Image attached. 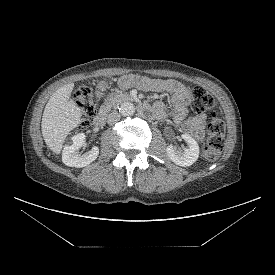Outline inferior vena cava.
Listing matches in <instances>:
<instances>
[{"mask_svg": "<svg viewBox=\"0 0 275 275\" xmlns=\"http://www.w3.org/2000/svg\"><path fill=\"white\" fill-rule=\"evenodd\" d=\"M118 121H120V114H118V112L116 111L111 112L107 117V122L110 125H113Z\"/></svg>", "mask_w": 275, "mask_h": 275, "instance_id": "1", "label": "inferior vena cava"}]
</instances>
